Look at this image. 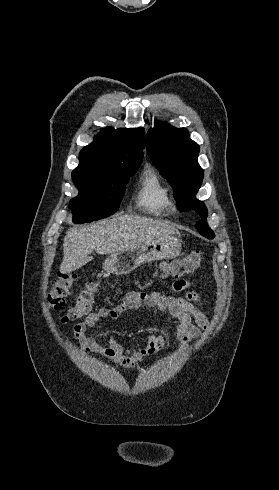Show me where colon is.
<instances>
[{
  "instance_id": "obj_1",
  "label": "colon",
  "mask_w": 279,
  "mask_h": 490,
  "mask_svg": "<svg viewBox=\"0 0 279 490\" xmlns=\"http://www.w3.org/2000/svg\"><path fill=\"white\" fill-rule=\"evenodd\" d=\"M202 255L200 251H192L183 259H178L161 264L164 278L172 277L179 279L192 273L201 263ZM76 277L73 273L63 272L56 276L48 290V305L52 309H60L71 286L75 283ZM99 282L90 281L76 296L75 302L61 316L62 322L78 321L86 317L92 311L94 297L98 292Z\"/></svg>"
}]
</instances>
